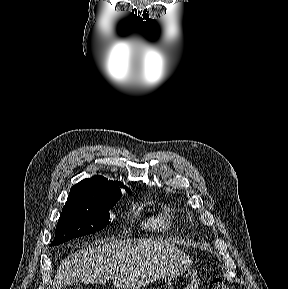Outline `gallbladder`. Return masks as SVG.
<instances>
[{
    "mask_svg": "<svg viewBox=\"0 0 288 289\" xmlns=\"http://www.w3.org/2000/svg\"><path fill=\"white\" fill-rule=\"evenodd\" d=\"M79 279L78 278H71L66 284L64 285H72L74 283H78Z\"/></svg>",
    "mask_w": 288,
    "mask_h": 289,
    "instance_id": "gallbladder-1",
    "label": "gallbladder"
}]
</instances>
